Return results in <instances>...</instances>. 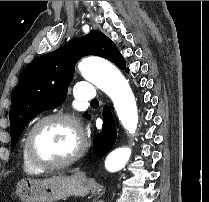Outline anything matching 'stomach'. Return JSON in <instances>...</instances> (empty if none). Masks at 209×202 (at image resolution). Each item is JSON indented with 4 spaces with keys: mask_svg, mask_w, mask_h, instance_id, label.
Segmentation results:
<instances>
[{
    "mask_svg": "<svg viewBox=\"0 0 209 202\" xmlns=\"http://www.w3.org/2000/svg\"><path fill=\"white\" fill-rule=\"evenodd\" d=\"M90 191L88 181L80 174L58 175L42 180L23 179L16 184V196L22 202H55L69 196H86Z\"/></svg>",
    "mask_w": 209,
    "mask_h": 202,
    "instance_id": "1",
    "label": "stomach"
}]
</instances>
